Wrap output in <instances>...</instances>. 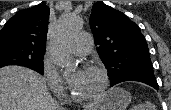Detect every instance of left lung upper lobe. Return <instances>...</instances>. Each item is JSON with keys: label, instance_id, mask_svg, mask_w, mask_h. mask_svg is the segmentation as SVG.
Returning a JSON list of instances; mask_svg holds the SVG:
<instances>
[{"label": "left lung upper lobe", "instance_id": "left-lung-upper-lobe-1", "mask_svg": "<svg viewBox=\"0 0 171 110\" xmlns=\"http://www.w3.org/2000/svg\"><path fill=\"white\" fill-rule=\"evenodd\" d=\"M89 23L111 85L129 78L155 79L147 42L136 23L103 1L93 6Z\"/></svg>", "mask_w": 171, "mask_h": 110}]
</instances>
